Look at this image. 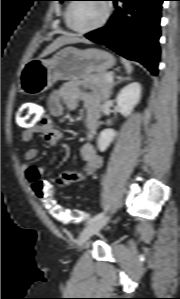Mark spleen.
Returning a JSON list of instances; mask_svg holds the SVG:
<instances>
[{
  "mask_svg": "<svg viewBox=\"0 0 180 299\" xmlns=\"http://www.w3.org/2000/svg\"><path fill=\"white\" fill-rule=\"evenodd\" d=\"M121 61L126 69L127 74H130L132 72L133 68H132L131 64L129 63V61H127L126 59H123V58L121 59Z\"/></svg>",
  "mask_w": 180,
  "mask_h": 299,
  "instance_id": "1",
  "label": "spleen"
}]
</instances>
